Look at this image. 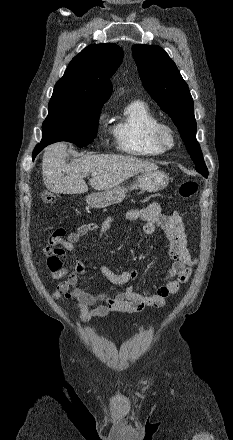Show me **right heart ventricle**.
I'll list each match as a JSON object with an SVG mask.
<instances>
[{"label": "right heart ventricle", "mask_w": 233, "mask_h": 440, "mask_svg": "<svg viewBox=\"0 0 233 440\" xmlns=\"http://www.w3.org/2000/svg\"><path fill=\"white\" fill-rule=\"evenodd\" d=\"M159 122L145 102L134 100L114 119L110 132L122 153L134 157H154L164 152L150 140V130Z\"/></svg>", "instance_id": "e07e8e85"}]
</instances>
